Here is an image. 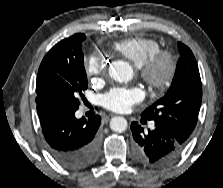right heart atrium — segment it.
<instances>
[{
	"mask_svg": "<svg viewBox=\"0 0 223 188\" xmlns=\"http://www.w3.org/2000/svg\"><path fill=\"white\" fill-rule=\"evenodd\" d=\"M106 60L97 53L91 54L86 61V72L89 76H96L106 69Z\"/></svg>",
	"mask_w": 223,
	"mask_h": 188,
	"instance_id": "d8ad5b80",
	"label": "right heart atrium"
}]
</instances>
